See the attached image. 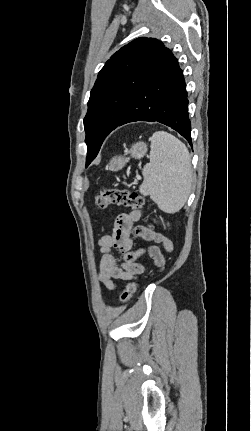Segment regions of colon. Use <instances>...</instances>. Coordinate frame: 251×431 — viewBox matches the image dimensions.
Listing matches in <instances>:
<instances>
[{
	"label": "colon",
	"instance_id": "colon-1",
	"mask_svg": "<svg viewBox=\"0 0 251 431\" xmlns=\"http://www.w3.org/2000/svg\"><path fill=\"white\" fill-rule=\"evenodd\" d=\"M95 205L104 208L109 205L130 207L135 211L143 210L145 199L135 192L119 188H104L95 199ZM137 288V282H129L120 295V301L127 304L131 301Z\"/></svg>",
	"mask_w": 251,
	"mask_h": 431
}]
</instances>
